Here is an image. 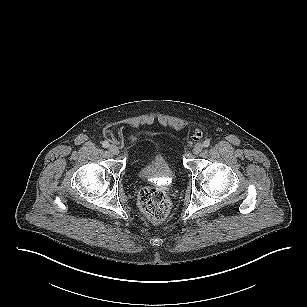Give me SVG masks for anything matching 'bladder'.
<instances>
[{
    "mask_svg": "<svg viewBox=\"0 0 307 307\" xmlns=\"http://www.w3.org/2000/svg\"><path fill=\"white\" fill-rule=\"evenodd\" d=\"M138 176L144 180H153L159 178H172L174 173L161 154L153 155L148 161L138 168Z\"/></svg>",
    "mask_w": 307,
    "mask_h": 307,
    "instance_id": "obj_1",
    "label": "bladder"
}]
</instances>
